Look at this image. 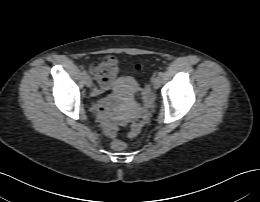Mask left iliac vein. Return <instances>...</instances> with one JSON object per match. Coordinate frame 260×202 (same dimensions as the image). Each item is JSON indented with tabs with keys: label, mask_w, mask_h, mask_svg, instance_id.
Wrapping results in <instances>:
<instances>
[{
	"label": "left iliac vein",
	"mask_w": 260,
	"mask_h": 202,
	"mask_svg": "<svg viewBox=\"0 0 260 202\" xmlns=\"http://www.w3.org/2000/svg\"><path fill=\"white\" fill-rule=\"evenodd\" d=\"M152 84H153V87H154V88H156V89L159 88L160 85H161V78H160L159 76H156V77L153 79Z\"/></svg>",
	"instance_id": "left-iliac-vein-1"
}]
</instances>
